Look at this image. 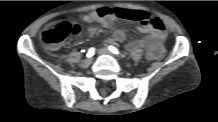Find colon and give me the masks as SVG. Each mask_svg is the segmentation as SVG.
<instances>
[{
  "label": "colon",
  "mask_w": 218,
  "mask_h": 122,
  "mask_svg": "<svg viewBox=\"0 0 218 122\" xmlns=\"http://www.w3.org/2000/svg\"><path fill=\"white\" fill-rule=\"evenodd\" d=\"M115 13L119 18L137 21L142 24L151 25L155 28L163 27V23L149 15L144 11L129 10V9H116ZM80 31V26L73 23L69 18L64 17L53 21L48 24L41 33V40L49 49H56L70 34H76ZM166 48H158L157 53L154 54L155 62H163L167 56Z\"/></svg>",
  "instance_id": "1"
}]
</instances>
